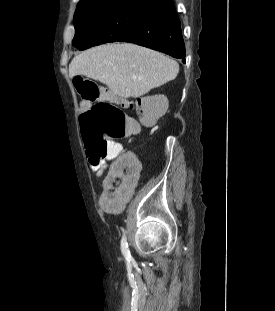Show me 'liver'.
Returning a JSON list of instances; mask_svg holds the SVG:
<instances>
[{
  "mask_svg": "<svg viewBox=\"0 0 275 311\" xmlns=\"http://www.w3.org/2000/svg\"><path fill=\"white\" fill-rule=\"evenodd\" d=\"M178 63L151 49L138 45L107 44L75 56L69 75H84L98 80L120 97H140L151 89L176 78Z\"/></svg>",
  "mask_w": 275,
  "mask_h": 311,
  "instance_id": "obj_1",
  "label": "liver"
}]
</instances>
